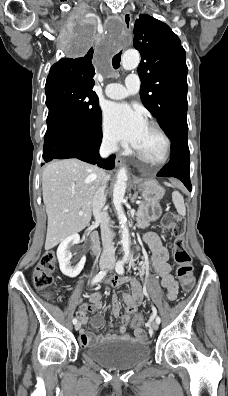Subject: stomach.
<instances>
[{"mask_svg": "<svg viewBox=\"0 0 228 396\" xmlns=\"http://www.w3.org/2000/svg\"><path fill=\"white\" fill-rule=\"evenodd\" d=\"M137 187L143 199V208L145 209V212L139 213V215L146 216L147 220L157 219L162 213L159 202L165 194L164 188L155 180L139 182Z\"/></svg>", "mask_w": 228, "mask_h": 396, "instance_id": "0dacf381", "label": "stomach"}]
</instances>
